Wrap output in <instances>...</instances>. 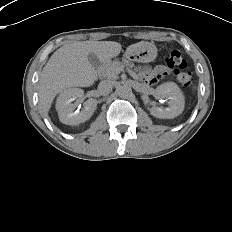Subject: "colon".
Here are the masks:
<instances>
[{
    "instance_id": "1",
    "label": "colon",
    "mask_w": 232,
    "mask_h": 232,
    "mask_svg": "<svg viewBox=\"0 0 232 232\" xmlns=\"http://www.w3.org/2000/svg\"><path fill=\"white\" fill-rule=\"evenodd\" d=\"M161 67L168 68L170 73L174 74L184 86H191V73L187 70V63L179 50L173 49L166 54L155 72Z\"/></svg>"
}]
</instances>
